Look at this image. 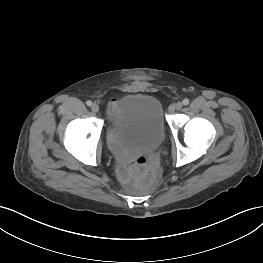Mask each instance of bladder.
<instances>
[{
    "label": "bladder",
    "mask_w": 263,
    "mask_h": 263,
    "mask_svg": "<svg viewBox=\"0 0 263 263\" xmlns=\"http://www.w3.org/2000/svg\"><path fill=\"white\" fill-rule=\"evenodd\" d=\"M112 130L127 149L149 152L165 139L162 106L153 96L135 93L123 96L116 107Z\"/></svg>",
    "instance_id": "31cf9c89"
}]
</instances>
